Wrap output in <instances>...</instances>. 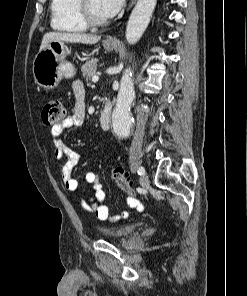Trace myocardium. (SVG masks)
Instances as JSON below:
<instances>
[{
    "instance_id": "myocardium-1",
    "label": "myocardium",
    "mask_w": 247,
    "mask_h": 296,
    "mask_svg": "<svg viewBox=\"0 0 247 296\" xmlns=\"http://www.w3.org/2000/svg\"><path fill=\"white\" fill-rule=\"evenodd\" d=\"M77 12L80 20L87 27H101L108 23L107 19H97L92 15L88 7V0H78Z\"/></svg>"
}]
</instances>
